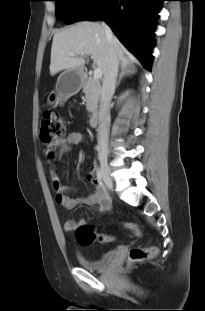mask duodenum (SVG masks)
Returning <instances> with one entry per match:
<instances>
[{"label": "duodenum", "mask_w": 205, "mask_h": 311, "mask_svg": "<svg viewBox=\"0 0 205 311\" xmlns=\"http://www.w3.org/2000/svg\"><path fill=\"white\" fill-rule=\"evenodd\" d=\"M90 125L91 126H97L98 122H99V113L97 111L93 112L90 115V119H89Z\"/></svg>", "instance_id": "duodenum-1"}]
</instances>
